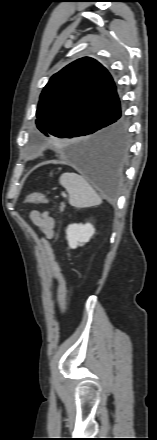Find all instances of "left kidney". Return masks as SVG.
<instances>
[{"label": "left kidney", "instance_id": "left-kidney-1", "mask_svg": "<svg viewBox=\"0 0 157 440\" xmlns=\"http://www.w3.org/2000/svg\"><path fill=\"white\" fill-rule=\"evenodd\" d=\"M94 233L95 228L90 223L69 225L66 229V239L69 247L76 249L78 246H83L86 242H89Z\"/></svg>", "mask_w": 157, "mask_h": 440}]
</instances>
